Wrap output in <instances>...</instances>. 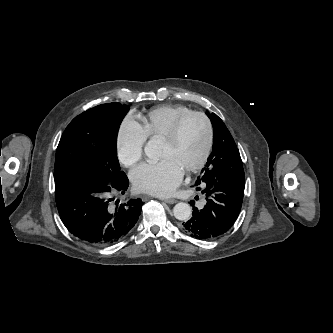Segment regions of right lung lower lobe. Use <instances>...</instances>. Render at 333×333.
Segmentation results:
<instances>
[{
    "label": "right lung lower lobe",
    "instance_id": "right-lung-lower-lobe-1",
    "mask_svg": "<svg viewBox=\"0 0 333 333\" xmlns=\"http://www.w3.org/2000/svg\"><path fill=\"white\" fill-rule=\"evenodd\" d=\"M129 186L122 171L107 168L65 181L55 189L56 204L66 228L87 243L103 246L118 242L135 226L141 199L116 202L111 193L124 194Z\"/></svg>",
    "mask_w": 333,
    "mask_h": 333
}]
</instances>
